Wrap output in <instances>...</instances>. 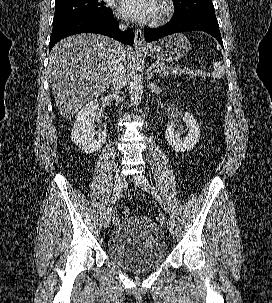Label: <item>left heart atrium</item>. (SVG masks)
Segmentation results:
<instances>
[{"label": "left heart atrium", "mask_w": 272, "mask_h": 303, "mask_svg": "<svg viewBox=\"0 0 272 303\" xmlns=\"http://www.w3.org/2000/svg\"><path fill=\"white\" fill-rule=\"evenodd\" d=\"M158 0H120L119 13L137 21H149L157 17Z\"/></svg>", "instance_id": "39dd6f15"}]
</instances>
